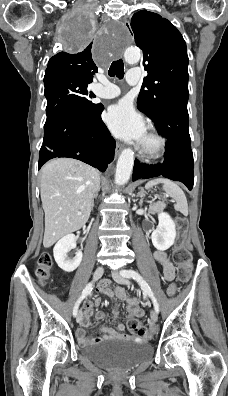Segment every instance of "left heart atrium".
Returning a JSON list of instances; mask_svg holds the SVG:
<instances>
[{"instance_id": "1", "label": "left heart atrium", "mask_w": 228, "mask_h": 396, "mask_svg": "<svg viewBox=\"0 0 228 396\" xmlns=\"http://www.w3.org/2000/svg\"><path fill=\"white\" fill-rule=\"evenodd\" d=\"M105 122L118 138L142 142L146 135L144 119L128 100L112 105L106 113Z\"/></svg>"}]
</instances>
